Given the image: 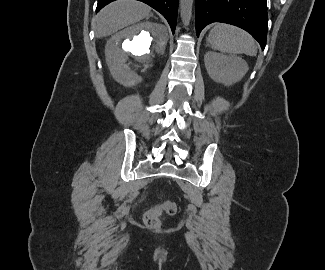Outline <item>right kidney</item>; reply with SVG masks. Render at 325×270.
Instances as JSON below:
<instances>
[{
  "mask_svg": "<svg viewBox=\"0 0 325 270\" xmlns=\"http://www.w3.org/2000/svg\"><path fill=\"white\" fill-rule=\"evenodd\" d=\"M167 41L165 27L151 22L139 23L116 33L105 47L112 77L124 86L140 84L154 67L156 56L164 53Z\"/></svg>",
  "mask_w": 325,
  "mask_h": 270,
  "instance_id": "1",
  "label": "right kidney"
}]
</instances>
